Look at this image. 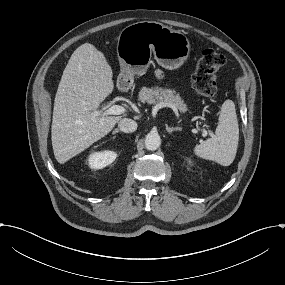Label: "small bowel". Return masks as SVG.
I'll list each match as a JSON object with an SVG mask.
<instances>
[{"label":"small bowel","instance_id":"obj_1","mask_svg":"<svg viewBox=\"0 0 285 285\" xmlns=\"http://www.w3.org/2000/svg\"><path fill=\"white\" fill-rule=\"evenodd\" d=\"M161 75H162V74H161V72H160V71H159V72H157V76H158V77H161Z\"/></svg>","mask_w":285,"mask_h":285}]
</instances>
